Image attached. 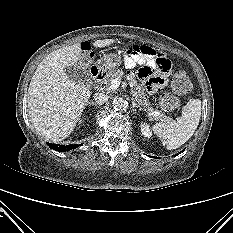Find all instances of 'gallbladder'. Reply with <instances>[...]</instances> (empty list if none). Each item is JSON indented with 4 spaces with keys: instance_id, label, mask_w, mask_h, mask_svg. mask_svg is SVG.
Instances as JSON below:
<instances>
[{
    "instance_id": "1",
    "label": "gallbladder",
    "mask_w": 233,
    "mask_h": 233,
    "mask_svg": "<svg viewBox=\"0 0 233 233\" xmlns=\"http://www.w3.org/2000/svg\"><path fill=\"white\" fill-rule=\"evenodd\" d=\"M64 71L71 80L77 83L85 84V82L89 80L85 71L76 66L66 67Z\"/></svg>"
}]
</instances>
